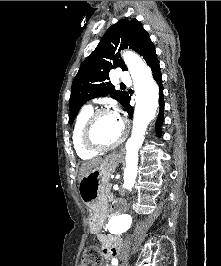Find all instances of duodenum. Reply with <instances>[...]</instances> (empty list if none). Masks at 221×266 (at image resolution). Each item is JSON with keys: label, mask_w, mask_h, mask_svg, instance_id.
Instances as JSON below:
<instances>
[{"label": "duodenum", "mask_w": 221, "mask_h": 266, "mask_svg": "<svg viewBox=\"0 0 221 266\" xmlns=\"http://www.w3.org/2000/svg\"><path fill=\"white\" fill-rule=\"evenodd\" d=\"M112 209L114 211H121L122 210V206L119 203H114L112 206Z\"/></svg>", "instance_id": "410a0bca"}]
</instances>
